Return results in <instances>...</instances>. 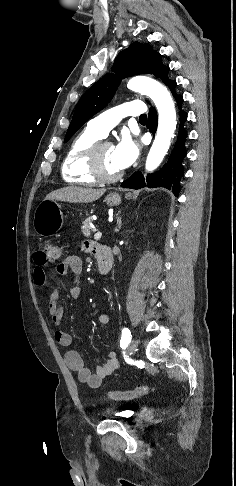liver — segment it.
<instances>
[{
    "label": "liver",
    "instance_id": "obj_1",
    "mask_svg": "<svg viewBox=\"0 0 236 486\" xmlns=\"http://www.w3.org/2000/svg\"><path fill=\"white\" fill-rule=\"evenodd\" d=\"M105 189H91L84 187L69 186L52 191L46 196V200H59L72 203H91L98 200Z\"/></svg>",
    "mask_w": 236,
    "mask_h": 486
}]
</instances>
